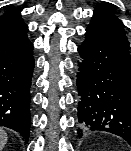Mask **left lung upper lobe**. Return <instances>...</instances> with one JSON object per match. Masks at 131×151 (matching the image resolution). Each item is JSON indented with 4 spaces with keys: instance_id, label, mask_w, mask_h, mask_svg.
Here are the masks:
<instances>
[{
    "instance_id": "1",
    "label": "left lung upper lobe",
    "mask_w": 131,
    "mask_h": 151,
    "mask_svg": "<svg viewBox=\"0 0 131 151\" xmlns=\"http://www.w3.org/2000/svg\"><path fill=\"white\" fill-rule=\"evenodd\" d=\"M86 34L128 51V40L123 24L106 6L95 8L91 22L86 28Z\"/></svg>"
}]
</instances>
